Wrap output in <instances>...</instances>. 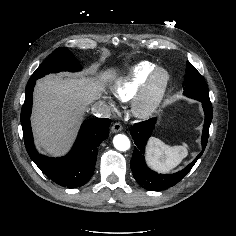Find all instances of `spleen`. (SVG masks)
Wrapping results in <instances>:
<instances>
[{
  "label": "spleen",
  "mask_w": 236,
  "mask_h": 236,
  "mask_svg": "<svg viewBox=\"0 0 236 236\" xmlns=\"http://www.w3.org/2000/svg\"><path fill=\"white\" fill-rule=\"evenodd\" d=\"M188 155L187 144L169 146L161 140L151 137L146 148L147 161L151 167L168 172L176 167Z\"/></svg>",
  "instance_id": "1"
}]
</instances>
